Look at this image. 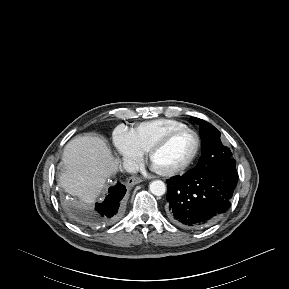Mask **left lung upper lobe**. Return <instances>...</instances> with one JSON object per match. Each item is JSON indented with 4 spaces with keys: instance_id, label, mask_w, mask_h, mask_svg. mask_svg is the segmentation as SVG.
I'll return each mask as SVG.
<instances>
[{
    "instance_id": "obj_1",
    "label": "left lung upper lobe",
    "mask_w": 289,
    "mask_h": 289,
    "mask_svg": "<svg viewBox=\"0 0 289 289\" xmlns=\"http://www.w3.org/2000/svg\"><path fill=\"white\" fill-rule=\"evenodd\" d=\"M192 120L200 126L202 138V156L195 168L213 167L218 164L235 166L230 149L221 143L220 132L202 119L192 118Z\"/></svg>"
}]
</instances>
